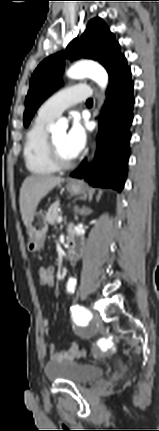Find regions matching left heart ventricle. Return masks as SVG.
<instances>
[{"label":"left heart ventricle","mask_w":159,"mask_h":431,"mask_svg":"<svg viewBox=\"0 0 159 431\" xmlns=\"http://www.w3.org/2000/svg\"><path fill=\"white\" fill-rule=\"evenodd\" d=\"M65 131H57L52 134L53 140L58 148L61 157L65 160H71L74 157L68 152L65 146Z\"/></svg>","instance_id":"obj_1"}]
</instances>
